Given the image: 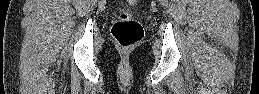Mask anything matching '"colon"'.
I'll list each match as a JSON object with an SVG mask.
<instances>
[{"mask_svg": "<svg viewBox=\"0 0 259 94\" xmlns=\"http://www.w3.org/2000/svg\"><path fill=\"white\" fill-rule=\"evenodd\" d=\"M128 3L134 6L137 1L128 0ZM111 33L117 44L125 49L138 44L144 35L142 25L127 11L120 12L118 19L112 25Z\"/></svg>", "mask_w": 259, "mask_h": 94, "instance_id": "colon-1", "label": "colon"}]
</instances>
